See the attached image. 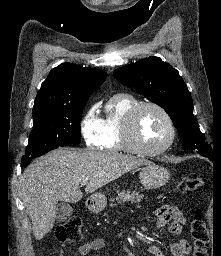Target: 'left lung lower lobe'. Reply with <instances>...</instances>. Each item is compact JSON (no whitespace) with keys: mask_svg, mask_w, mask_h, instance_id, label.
Returning <instances> with one entry per match:
<instances>
[{"mask_svg":"<svg viewBox=\"0 0 221 256\" xmlns=\"http://www.w3.org/2000/svg\"><path fill=\"white\" fill-rule=\"evenodd\" d=\"M210 160H214L212 156L208 157Z\"/></svg>","mask_w":221,"mask_h":256,"instance_id":"1","label":"left lung lower lobe"}]
</instances>
